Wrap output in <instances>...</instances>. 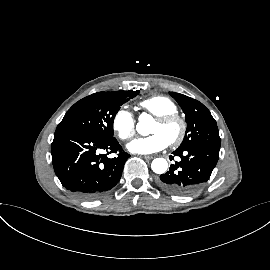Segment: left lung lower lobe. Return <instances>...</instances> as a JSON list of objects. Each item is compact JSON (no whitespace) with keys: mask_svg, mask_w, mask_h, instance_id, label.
<instances>
[{"mask_svg":"<svg viewBox=\"0 0 270 270\" xmlns=\"http://www.w3.org/2000/svg\"><path fill=\"white\" fill-rule=\"evenodd\" d=\"M220 147L197 144L178 148L173 152L181 160L171 164L169 171L160 175L159 185L176 195H188L201 188L210 178L217 164ZM173 160V156H170Z\"/></svg>","mask_w":270,"mask_h":270,"instance_id":"obj_1","label":"left lung lower lobe"}]
</instances>
